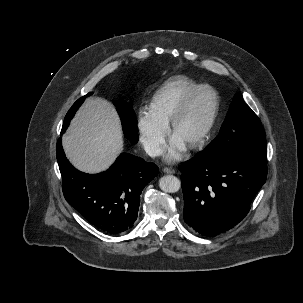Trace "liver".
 <instances>
[{
    "instance_id": "1",
    "label": "liver",
    "mask_w": 303,
    "mask_h": 303,
    "mask_svg": "<svg viewBox=\"0 0 303 303\" xmlns=\"http://www.w3.org/2000/svg\"><path fill=\"white\" fill-rule=\"evenodd\" d=\"M63 147L79 170L97 173L106 170L123 150L119 117L104 99H87L74 117Z\"/></svg>"
}]
</instances>
